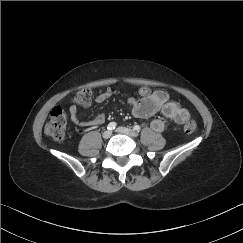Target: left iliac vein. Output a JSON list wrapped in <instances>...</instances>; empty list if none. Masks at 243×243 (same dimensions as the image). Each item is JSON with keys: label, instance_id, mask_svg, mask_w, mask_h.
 Listing matches in <instances>:
<instances>
[{"label": "left iliac vein", "instance_id": "left-iliac-vein-1", "mask_svg": "<svg viewBox=\"0 0 243 243\" xmlns=\"http://www.w3.org/2000/svg\"><path fill=\"white\" fill-rule=\"evenodd\" d=\"M116 131L119 132V133L126 134L130 137H137L138 136L137 132H135L133 129L127 128V127H119V128H117Z\"/></svg>", "mask_w": 243, "mask_h": 243}]
</instances>
